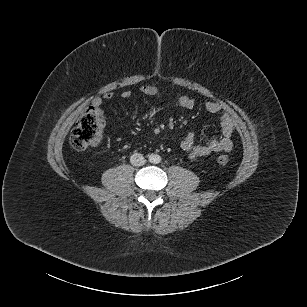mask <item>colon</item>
Returning a JSON list of instances; mask_svg holds the SVG:
<instances>
[{"label": "colon", "mask_w": 307, "mask_h": 307, "mask_svg": "<svg viewBox=\"0 0 307 307\" xmlns=\"http://www.w3.org/2000/svg\"><path fill=\"white\" fill-rule=\"evenodd\" d=\"M104 121L94 106L83 111L70 134V144L78 151H85L98 146L103 137ZM217 162L226 166L229 159L226 155H219Z\"/></svg>", "instance_id": "1"}]
</instances>
